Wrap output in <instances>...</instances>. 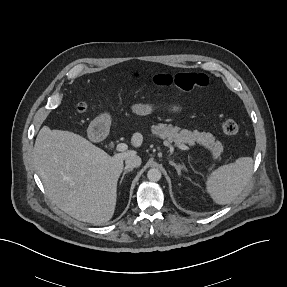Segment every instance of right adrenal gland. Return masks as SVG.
Listing matches in <instances>:
<instances>
[{
  "mask_svg": "<svg viewBox=\"0 0 287 287\" xmlns=\"http://www.w3.org/2000/svg\"><path fill=\"white\" fill-rule=\"evenodd\" d=\"M132 170H133V168H127V167H125L124 172H123L122 177H121V180H120V183H122V181H123V179H124V176H125L128 172H130V171H132Z\"/></svg>",
  "mask_w": 287,
  "mask_h": 287,
  "instance_id": "right-adrenal-gland-1",
  "label": "right adrenal gland"
}]
</instances>
